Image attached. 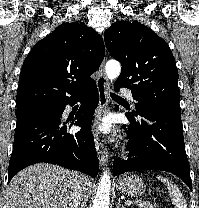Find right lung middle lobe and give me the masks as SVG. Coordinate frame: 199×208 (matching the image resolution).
Returning <instances> with one entry per match:
<instances>
[{
  "instance_id": "right-lung-middle-lobe-1",
  "label": "right lung middle lobe",
  "mask_w": 199,
  "mask_h": 208,
  "mask_svg": "<svg viewBox=\"0 0 199 208\" xmlns=\"http://www.w3.org/2000/svg\"><path fill=\"white\" fill-rule=\"evenodd\" d=\"M52 107L49 106H30L24 107L16 110V118H20L22 116H29L34 114H47L52 113Z\"/></svg>"
}]
</instances>
